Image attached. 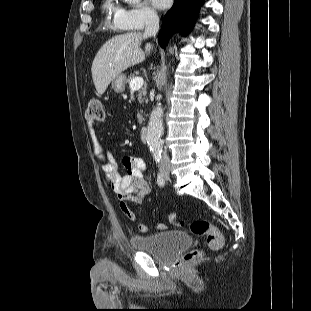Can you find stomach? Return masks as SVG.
<instances>
[{
  "mask_svg": "<svg viewBox=\"0 0 311 311\" xmlns=\"http://www.w3.org/2000/svg\"><path fill=\"white\" fill-rule=\"evenodd\" d=\"M126 77L124 74H119L111 81V87L117 93H121L125 89Z\"/></svg>",
  "mask_w": 311,
  "mask_h": 311,
  "instance_id": "stomach-1",
  "label": "stomach"
}]
</instances>
